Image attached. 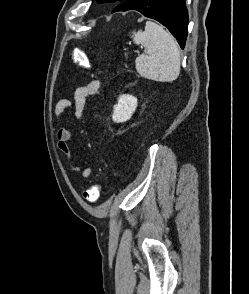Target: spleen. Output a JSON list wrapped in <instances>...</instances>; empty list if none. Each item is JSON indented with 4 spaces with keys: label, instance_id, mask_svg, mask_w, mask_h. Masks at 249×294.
<instances>
[{
    "label": "spleen",
    "instance_id": "1",
    "mask_svg": "<svg viewBox=\"0 0 249 294\" xmlns=\"http://www.w3.org/2000/svg\"><path fill=\"white\" fill-rule=\"evenodd\" d=\"M133 42L144 47L136 60V70L144 78L172 82L180 74V53L174 37L163 27L147 21L145 30L132 33Z\"/></svg>",
    "mask_w": 249,
    "mask_h": 294
}]
</instances>
